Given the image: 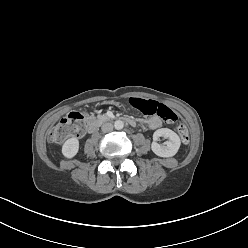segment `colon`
Returning <instances> with one entry per match:
<instances>
[{
	"mask_svg": "<svg viewBox=\"0 0 248 248\" xmlns=\"http://www.w3.org/2000/svg\"><path fill=\"white\" fill-rule=\"evenodd\" d=\"M132 107L145 115H157L167 123H174L177 120L175 112L164 104L154 100L133 97L130 99ZM85 126V118L79 112H72L65 116L56 124L49 133V139L54 143H59L71 136H78ZM178 133L184 144L190 141L189 132L185 125L178 126Z\"/></svg>",
	"mask_w": 248,
	"mask_h": 248,
	"instance_id": "colon-1",
	"label": "colon"
}]
</instances>
